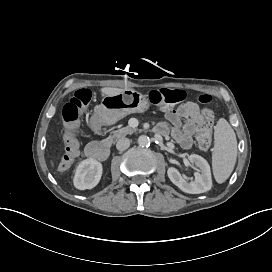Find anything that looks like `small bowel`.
<instances>
[{
    "label": "small bowel",
    "mask_w": 272,
    "mask_h": 272,
    "mask_svg": "<svg viewBox=\"0 0 272 272\" xmlns=\"http://www.w3.org/2000/svg\"><path fill=\"white\" fill-rule=\"evenodd\" d=\"M164 112L165 120L155 126V133L158 135L170 134L182 148L189 149L193 144V135L202 130L197 124V119L201 114L197 103L187 101L176 109L166 107Z\"/></svg>",
    "instance_id": "c3829d8e"
}]
</instances>
